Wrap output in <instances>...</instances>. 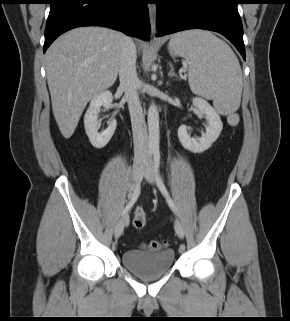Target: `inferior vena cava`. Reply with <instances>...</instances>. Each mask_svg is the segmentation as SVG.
<instances>
[{
  "label": "inferior vena cava",
  "mask_w": 290,
  "mask_h": 321,
  "mask_svg": "<svg viewBox=\"0 0 290 321\" xmlns=\"http://www.w3.org/2000/svg\"><path fill=\"white\" fill-rule=\"evenodd\" d=\"M136 58V46L131 38L126 37L120 56V88L124 90L130 112L135 157L145 158L148 155V137L145 117L137 92L139 80L136 71Z\"/></svg>",
  "instance_id": "obj_1"
}]
</instances>
